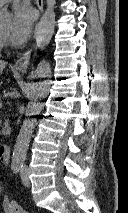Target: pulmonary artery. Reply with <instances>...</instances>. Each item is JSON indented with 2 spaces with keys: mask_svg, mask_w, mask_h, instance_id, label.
I'll return each mask as SVG.
<instances>
[{
  "mask_svg": "<svg viewBox=\"0 0 128 213\" xmlns=\"http://www.w3.org/2000/svg\"><path fill=\"white\" fill-rule=\"evenodd\" d=\"M9 0H0V6L3 5L4 3H6Z\"/></svg>",
  "mask_w": 128,
  "mask_h": 213,
  "instance_id": "e3ab8cb5",
  "label": "pulmonary artery"
}]
</instances>
